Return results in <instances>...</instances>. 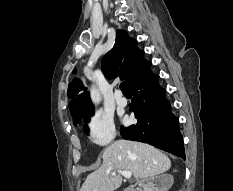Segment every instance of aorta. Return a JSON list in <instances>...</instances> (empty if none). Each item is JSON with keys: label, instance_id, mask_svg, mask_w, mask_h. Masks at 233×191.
<instances>
[{"label": "aorta", "instance_id": "aorta-1", "mask_svg": "<svg viewBox=\"0 0 233 191\" xmlns=\"http://www.w3.org/2000/svg\"><path fill=\"white\" fill-rule=\"evenodd\" d=\"M90 94H91V99L94 102V104H99L101 101V97L100 94L98 92V90L93 86L90 90Z\"/></svg>", "mask_w": 233, "mask_h": 191}]
</instances>
